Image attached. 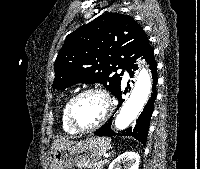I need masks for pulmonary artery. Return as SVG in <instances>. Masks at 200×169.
I'll use <instances>...</instances> for the list:
<instances>
[{
	"mask_svg": "<svg viewBox=\"0 0 200 169\" xmlns=\"http://www.w3.org/2000/svg\"><path fill=\"white\" fill-rule=\"evenodd\" d=\"M127 78H128V74L125 73V74H124V80H127Z\"/></svg>",
	"mask_w": 200,
	"mask_h": 169,
	"instance_id": "1",
	"label": "pulmonary artery"
}]
</instances>
